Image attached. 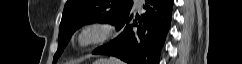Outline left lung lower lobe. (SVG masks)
<instances>
[{
    "label": "left lung lower lobe",
    "instance_id": "left-lung-lower-lobe-1",
    "mask_svg": "<svg viewBox=\"0 0 242 64\" xmlns=\"http://www.w3.org/2000/svg\"><path fill=\"white\" fill-rule=\"evenodd\" d=\"M145 14L133 18L132 7L115 24L123 31L108 44L93 51L96 55H108L129 64H159L172 18L173 0H146Z\"/></svg>",
    "mask_w": 242,
    "mask_h": 64
}]
</instances>
